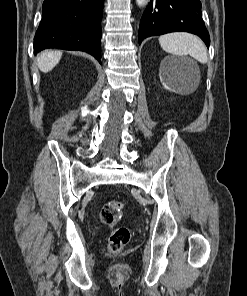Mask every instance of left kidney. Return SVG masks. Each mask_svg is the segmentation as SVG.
<instances>
[{"mask_svg": "<svg viewBox=\"0 0 247 296\" xmlns=\"http://www.w3.org/2000/svg\"><path fill=\"white\" fill-rule=\"evenodd\" d=\"M164 64L166 66L167 76L161 75V82L165 89L172 90L169 77L185 78V67L181 60L175 58H166Z\"/></svg>", "mask_w": 247, "mask_h": 296, "instance_id": "obj_1", "label": "left kidney"}]
</instances>
